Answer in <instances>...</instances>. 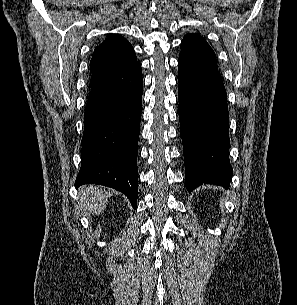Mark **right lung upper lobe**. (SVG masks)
I'll return each instance as SVG.
<instances>
[{"label": "right lung upper lobe", "instance_id": "1", "mask_svg": "<svg viewBox=\"0 0 297 305\" xmlns=\"http://www.w3.org/2000/svg\"><path fill=\"white\" fill-rule=\"evenodd\" d=\"M137 62L128 40L118 35L109 36L93 52L90 61L91 87L118 77Z\"/></svg>", "mask_w": 297, "mask_h": 305}]
</instances>
